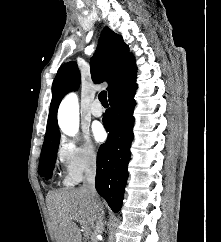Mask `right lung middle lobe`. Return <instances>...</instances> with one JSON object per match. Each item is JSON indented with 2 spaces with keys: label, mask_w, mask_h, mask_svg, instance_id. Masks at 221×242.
I'll use <instances>...</instances> for the list:
<instances>
[{
  "label": "right lung middle lobe",
  "mask_w": 221,
  "mask_h": 242,
  "mask_svg": "<svg viewBox=\"0 0 221 242\" xmlns=\"http://www.w3.org/2000/svg\"><path fill=\"white\" fill-rule=\"evenodd\" d=\"M60 141V134L44 139L42 146L40 162H39V173L41 176L49 179L52 176V170L54 168L57 150Z\"/></svg>",
  "instance_id": "right-lung-middle-lobe-1"
}]
</instances>
